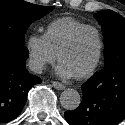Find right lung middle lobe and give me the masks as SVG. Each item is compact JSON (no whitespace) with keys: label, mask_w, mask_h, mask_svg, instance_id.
<instances>
[{"label":"right lung middle lobe","mask_w":125,"mask_h":125,"mask_svg":"<svg viewBox=\"0 0 125 125\" xmlns=\"http://www.w3.org/2000/svg\"><path fill=\"white\" fill-rule=\"evenodd\" d=\"M53 9L23 0H0V38L25 45L24 35L30 24Z\"/></svg>","instance_id":"dd1d6c3e"}]
</instances>
